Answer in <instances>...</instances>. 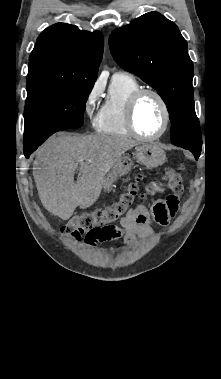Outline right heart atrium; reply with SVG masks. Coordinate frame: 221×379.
I'll return each instance as SVG.
<instances>
[{
  "label": "right heart atrium",
  "instance_id": "d8ad5b80",
  "mask_svg": "<svg viewBox=\"0 0 221 379\" xmlns=\"http://www.w3.org/2000/svg\"><path fill=\"white\" fill-rule=\"evenodd\" d=\"M103 93V84L100 81L95 82L86 94L84 100V111L88 116H91L97 106Z\"/></svg>",
  "mask_w": 221,
  "mask_h": 379
}]
</instances>
